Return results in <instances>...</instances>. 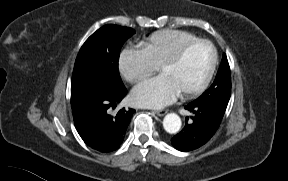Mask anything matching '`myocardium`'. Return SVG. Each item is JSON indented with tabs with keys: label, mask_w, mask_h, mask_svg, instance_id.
Returning <instances> with one entry per match:
<instances>
[{
	"label": "myocardium",
	"mask_w": 288,
	"mask_h": 181,
	"mask_svg": "<svg viewBox=\"0 0 288 181\" xmlns=\"http://www.w3.org/2000/svg\"><path fill=\"white\" fill-rule=\"evenodd\" d=\"M199 44H207L211 47V49L213 50V54H214L213 62H212L211 68H210L207 76L204 78V80L199 85H197L196 87H194L192 89H189V90H186V91H183L180 93L181 97H183V98H187V97H191V96L200 94L210 84V82H211V80L215 74V71L217 69V65H218V61H219V53H218L217 47L214 45V43L211 42L210 40H207V39H197L195 41L187 43L184 46H182L177 52H175L172 56L163 60L160 63V65L158 66V71H160L162 68L170 67V66H174V65L178 64L183 59V57L187 54L188 51H190L192 48H194L195 46H197Z\"/></svg>",
	"instance_id": "1"
}]
</instances>
